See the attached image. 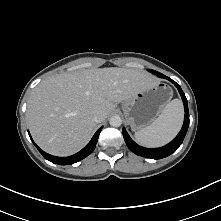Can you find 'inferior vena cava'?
I'll use <instances>...</instances> for the list:
<instances>
[{
    "label": "inferior vena cava",
    "mask_w": 221,
    "mask_h": 221,
    "mask_svg": "<svg viewBox=\"0 0 221 221\" xmlns=\"http://www.w3.org/2000/svg\"><path fill=\"white\" fill-rule=\"evenodd\" d=\"M93 120H94V122H96V123H100V122L103 121V117H102L101 114H95L94 117H93Z\"/></svg>",
    "instance_id": "602c4592"
}]
</instances>
